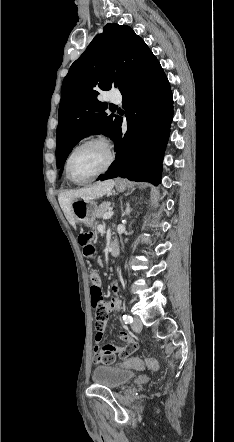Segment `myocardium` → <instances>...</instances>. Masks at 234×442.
Here are the masks:
<instances>
[{
	"mask_svg": "<svg viewBox=\"0 0 234 442\" xmlns=\"http://www.w3.org/2000/svg\"><path fill=\"white\" fill-rule=\"evenodd\" d=\"M92 144H99L105 147L107 154H108V159L106 164L103 166L102 169H100L97 173H95L94 175L90 176L87 179H83V180H78L76 178L73 177V175L71 174L70 171V162L71 159L73 157V155L81 148L88 146V145H92ZM115 161V152L111 146V144L102 137H93V138H89L83 142H81L80 144H78L77 146H75L72 151L70 152V154L67 157L66 160V164H65V170H66V175L68 177V179L75 183V184H86L91 182L92 180L96 179L97 177L101 176L102 174H104L105 172H107L110 167L113 165Z\"/></svg>",
	"mask_w": 234,
	"mask_h": 442,
	"instance_id": "1",
	"label": "myocardium"
}]
</instances>
